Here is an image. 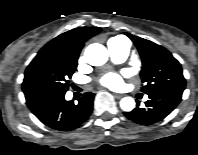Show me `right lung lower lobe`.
Listing matches in <instances>:
<instances>
[{
  "label": "right lung lower lobe",
  "mask_w": 198,
  "mask_h": 155,
  "mask_svg": "<svg viewBox=\"0 0 198 155\" xmlns=\"http://www.w3.org/2000/svg\"><path fill=\"white\" fill-rule=\"evenodd\" d=\"M66 91L38 90L24 93L27 106L46 126L70 131L78 128L90 116L93 109V93H85L78 103L65 100Z\"/></svg>",
  "instance_id": "obj_1"
}]
</instances>
